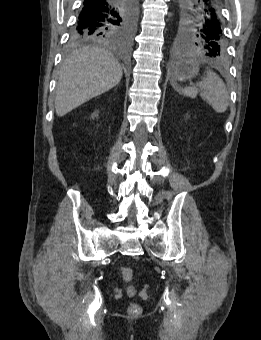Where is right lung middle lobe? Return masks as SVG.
Masks as SVG:
<instances>
[{
    "instance_id": "1",
    "label": "right lung middle lobe",
    "mask_w": 261,
    "mask_h": 340,
    "mask_svg": "<svg viewBox=\"0 0 261 340\" xmlns=\"http://www.w3.org/2000/svg\"><path fill=\"white\" fill-rule=\"evenodd\" d=\"M137 19V0H126L124 8L114 15L101 16L88 25L73 27L70 44L84 42L128 41L133 35Z\"/></svg>"
}]
</instances>
